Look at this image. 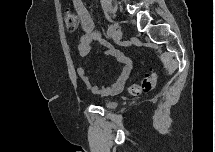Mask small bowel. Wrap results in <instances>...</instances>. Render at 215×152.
<instances>
[{"instance_id": "obj_1", "label": "small bowel", "mask_w": 215, "mask_h": 152, "mask_svg": "<svg viewBox=\"0 0 215 152\" xmlns=\"http://www.w3.org/2000/svg\"><path fill=\"white\" fill-rule=\"evenodd\" d=\"M74 8L81 22L84 34L80 36L77 51L79 56L85 57L89 54L91 48L95 45L104 47L107 53L114 55L121 63L125 65L123 78L112 85L98 88L91 84L85 70L82 67L77 69L81 82L93 93L100 96L116 95L123 91L126 79L129 77L134 65V59L131 56L115 49L106 40L102 38L101 32L95 28L91 18L82 0L73 1Z\"/></svg>"}]
</instances>
